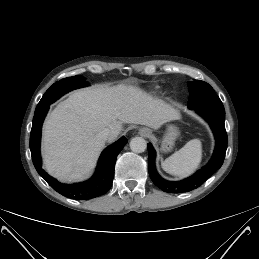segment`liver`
<instances>
[{"label":"liver","instance_id":"1","mask_svg":"<svg viewBox=\"0 0 259 259\" xmlns=\"http://www.w3.org/2000/svg\"><path fill=\"white\" fill-rule=\"evenodd\" d=\"M179 113L138 87L97 86L72 93L50 113L43 127V162L60 181L84 178L105 147L97 135L108 128L113 142L123 123L160 128Z\"/></svg>","mask_w":259,"mask_h":259}]
</instances>
